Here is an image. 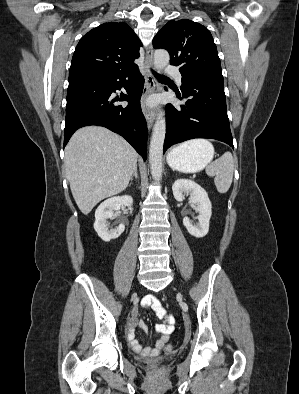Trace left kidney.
Here are the masks:
<instances>
[{
	"mask_svg": "<svg viewBox=\"0 0 299 394\" xmlns=\"http://www.w3.org/2000/svg\"><path fill=\"white\" fill-rule=\"evenodd\" d=\"M174 198L183 201L184 194L190 193L189 200L197 204L198 223L192 224L188 217L183 218V225L189 234L196 238H202L209 231V221L212 214V205L207 192L197 183L188 179H178L172 185Z\"/></svg>",
	"mask_w": 299,
	"mask_h": 394,
	"instance_id": "5707ae66",
	"label": "left kidney"
}]
</instances>
